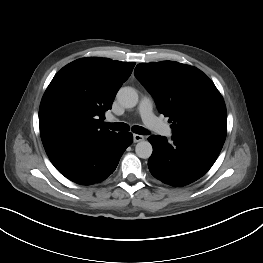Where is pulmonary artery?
I'll return each instance as SVG.
<instances>
[{"instance_id": "pulmonary-artery-1", "label": "pulmonary artery", "mask_w": 263, "mask_h": 263, "mask_svg": "<svg viewBox=\"0 0 263 263\" xmlns=\"http://www.w3.org/2000/svg\"><path fill=\"white\" fill-rule=\"evenodd\" d=\"M138 111L143 122L149 128L157 131L158 133L164 136L169 137L172 135V129L168 125L163 123L161 120H159L153 113L152 101L149 98H142L138 107Z\"/></svg>"}]
</instances>
